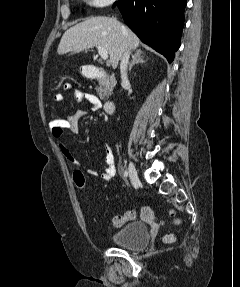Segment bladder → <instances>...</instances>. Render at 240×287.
Returning a JSON list of instances; mask_svg holds the SVG:
<instances>
[{"mask_svg":"<svg viewBox=\"0 0 240 287\" xmlns=\"http://www.w3.org/2000/svg\"><path fill=\"white\" fill-rule=\"evenodd\" d=\"M111 242L120 247L130 250H139L149 242V231L142 222H131L111 235Z\"/></svg>","mask_w":240,"mask_h":287,"instance_id":"31cf9c89","label":"bladder"}]
</instances>
